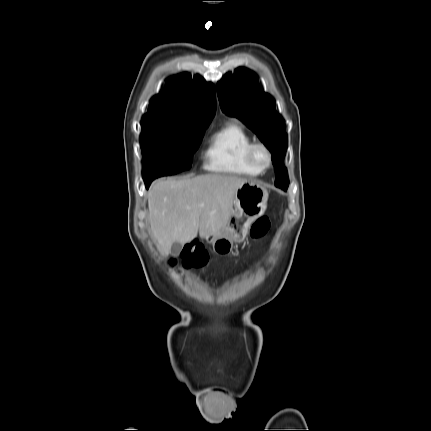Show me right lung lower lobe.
Wrapping results in <instances>:
<instances>
[{
    "instance_id": "right-lung-lower-lobe-1",
    "label": "right lung lower lobe",
    "mask_w": 431,
    "mask_h": 431,
    "mask_svg": "<svg viewBox=\"0 0 431 431\" xmlns=\"http://www.w3.org/2000/svg\"><path fill=\"white\" fill-rule=\"evenodd\" d=\"M153 179H144V182H145V186H146V188H148L149 187V185H150V183H151V181H152Z\"/></svg>"
}]
</instances>
